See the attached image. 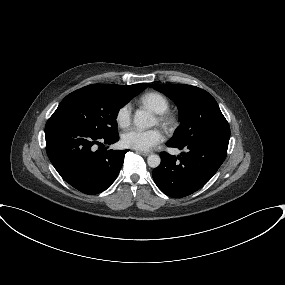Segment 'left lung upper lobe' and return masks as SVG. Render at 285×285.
Masks as SVG:
<instances>
[{"label": "left lung upper lobe", "instance_id": "left-lung-upper-lobe-1", "mask_svg": "<svg viewBox=\"0 0 285 285\" xmlns=\"http://www.w3.org/2000/svg\"><path fill=\"white\" fill-rule=\"evenodd\" d=\"M150 86L172 99L179 108L181 124L169 142L177 145L194 141L229 143V124L207 91L185 84Z\"/></svg>", "mask_w": 285, "mask_h": 285}]
</instances>
